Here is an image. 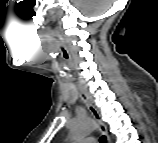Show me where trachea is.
<instances>
[{
    "mask_svg": "<svg viewBox=\"0 0 158 143\" xmlns=\"http://www.w3.org/2000/svg\"><path fill=\"white\" fill-rule=\"evenodd\" d=\"M100 143H105V138H104V136H102V137L100 138Z\"/></svg>",
    "mask_w": 158,
    "mask_h": 143,
    "instance_id": "1",
    "label": "trachea"
}]
</instances>
